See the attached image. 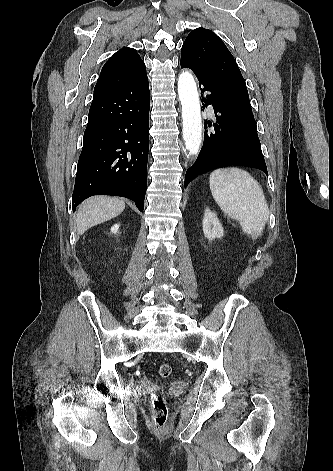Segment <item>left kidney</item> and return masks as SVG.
I'll use <instances>...</instances> for the list:
<instances>
[{"label":"left kidney","mask_w":333,"mask_h":471,"mask_svg":"<svg viewBox=\"0 0 333 471\" xmlns=\"http://www.w3.org/2000/svg\"><path fill=\"white\" fill-rule=\"evenodd\" d=\"M203 233L210 241L216 238L221 239L224 235V230L216 214L211 212L209 208H206L204 212Z\"/></svg>","instance_id":"1"}]
</instances>
